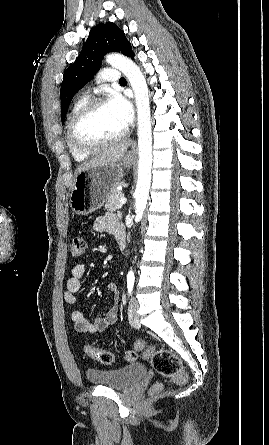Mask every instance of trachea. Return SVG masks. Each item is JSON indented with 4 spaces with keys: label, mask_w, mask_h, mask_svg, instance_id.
Wrapping results in <instances>:
<instances>
[{
    "label": "trachea",
    "mask_w": 269,
    "mask_h": 445,
    "mask_svg": "<svg viewBox=\"0 0 269 445\" xmlns=\"http://www.w3.org/2000/svg\"><path fill=\"white\" fill-rule=\"evenodd\" d=\"M119 82L120 83L126 82V79L124 77H122Z\"/></svg>",
    "instance_id": "trachea-1"
}]
</instances>
